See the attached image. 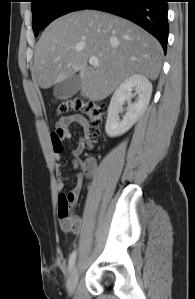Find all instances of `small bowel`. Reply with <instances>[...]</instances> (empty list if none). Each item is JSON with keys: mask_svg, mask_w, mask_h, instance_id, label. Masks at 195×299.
Here are the masks:
<instances>
[{"mask_svg": "<svg viewBox=\"0 0 195 299\" xmlns=\"http://www.w3.org/2000/svg\"><path fill=\"white\" fill-rule=\"evenodd\" d=\"M72 125H78L84 132V136L79 140L78 144L71 150L72 163L74 168H77L81 165L80 156L86 150V148L91 146L89 139V125L87 121L80 115H69L61 118L56 126L54 132L51 133V142L55 151L56 159V172H57V189L62 191L65 186L66 178L60 173V160L62 152V142L65 140H70L72 138V131L70 127ZM85 167L88 172L94 170V160L90 159L86 162ZM82 177L81 175L77 176L76 184L72 189L66 194V197H72L73 207L75 206L80 190H81ZM59 225L60 228L66 232L79 233L83 228V219L74 215L73 213L68 217L59 216Z\"/></svg>", "mask_w": 195, "mask_h": 299, "instance_id": "obj_1", "label": "small bowel"}]
</instances>
